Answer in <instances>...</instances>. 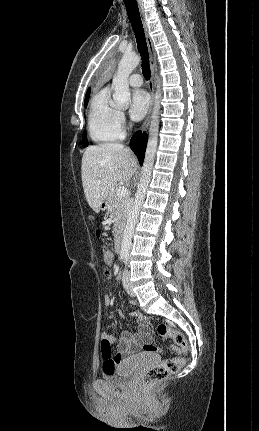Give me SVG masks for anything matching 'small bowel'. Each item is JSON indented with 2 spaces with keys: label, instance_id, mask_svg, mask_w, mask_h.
Masks as SVG:
<instances>
[{
  "label": "small bowel",
  "instance_id": "1",
  "mask_svg": "<svg viewBox=\"0 0 259 431\" xmlns=\"http://www.w3.org/2000/svg\"><path fill=\"white\" fill-rule=\"evenodd\" d=\"M110 271L105 269L104 279H109ZM113 303V298L111 296H106L104 298V304L106 306H111ZM139 323V330L136 333L126 331L119 336H115L106 332L101 334L102 341H108L111 345H117L116 353H111L109 356H103V369L107 364L113 365L114 368L122 364L131 363L136 358V353L145 343L151 340V335L148 330V326L144 320V317L140 313H133Z\"/></svg>",
  "mask_w": 259,
  "mask_h": 431
}]
</instances>
